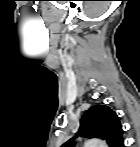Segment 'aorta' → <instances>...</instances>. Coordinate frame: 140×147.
<instances>
[{"label":"aorta","instance_id":"aorta-1","mask_svg":"<svg viewBox=\"0 0 140 147\" xmlns=\"http://www.w3.org/2000/svg\"><path fill=\"white\" fill-rule=\"evenodd\" d=\"M106 144L99 139H89L85 142V147H105Z\"/></svg>","mask_w":140,"mask_h":147}]
</instances>
